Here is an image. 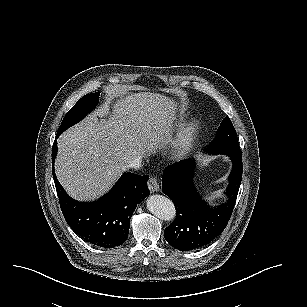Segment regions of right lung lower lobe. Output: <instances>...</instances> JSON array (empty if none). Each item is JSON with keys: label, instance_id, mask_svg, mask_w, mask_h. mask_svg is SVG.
<instances>
[{"label": "right lung lower lobe", "instance_id": "right-lung-lower-lobe-1", "mask_svg": "<svg viewBox=\"0 0 307 307\" xmlns=\"http://www.w3.org/2000/svg\"><path fill=\"white\" fill-rule=\"evenodd\" d=\"M58 137V136H57ZM57 141L52 147V170L60 207L68 225L87 243L101 248L123 244L137 204L150 194L148 175L125 173L114 187L93 203H83L66 194L54 172Z\"/></svg>", "mask_w": 307, "mask_h": 307}]
</instances>
